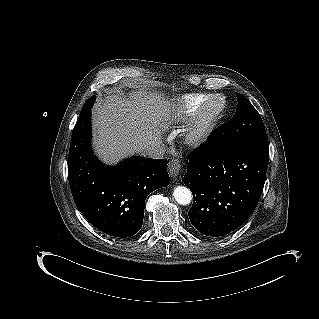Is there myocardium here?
Instances as JSON below:
<instances>
[{
	"instance_id": "f54148a6",
	"label": "myocardium",
	"mask_w": 319,
	"mask_h": 319,
	"mask_svg": "<svg viewBox=\"0 0 319 319\" xmlns=\"http://www.w3.org/2000/svg\"><path fill=\"white\" fill-rule=\"evenodd\" d=\"M226 102L221 95H210L187 123L183 138L186 144L197 146L206 141L223 115Z\"/></svg>"
}]
</instances>
